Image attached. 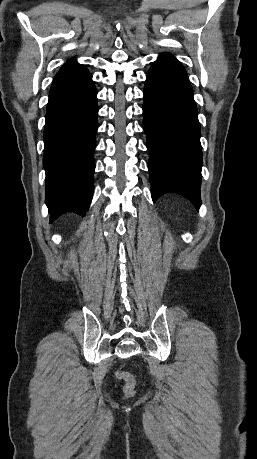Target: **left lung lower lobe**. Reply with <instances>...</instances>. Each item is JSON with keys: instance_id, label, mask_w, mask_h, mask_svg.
Returning <instances> with one entry per match:
<instances>
[{"instance_id": "1", "label": "left lung lower lobe", "mask_w": 257, "mask_h": 459, "mask_svg": "<svg viewBox=\"0 0 257 459\" xmlns=\"http://www.w3.org/2000/svg\"><path fill=\"white\" fill-rule=\"evenodd\" d=\"M143 116L153 201L165 193H176L199 209L202 151L198 111L184 67L169 54H161L146 75Z\"/></svg>"}]
</instances>
